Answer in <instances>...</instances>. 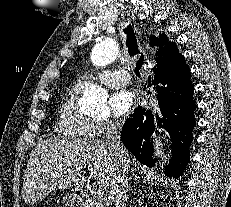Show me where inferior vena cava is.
Segmentation results:
<instances>
[{
  "instance_id": "inferior-vena-cava-1",
  "label": "inferior vena cava",
  "mask_w": 231,
  "mask_h": 207,
  "mask_svg": "<svg viewBox=\"0 0 231 207\" xmlns=\"http://www.w3.org/2000/svg\"><path fill=\"white\" fill-rule=\"evenodd\" d=\"M122 122L117 119H112L107 124L106 141L105 143L111 147L113 153L119 160L117 168L116 181L113 186V199L116 207H127L128 199V179H127V153L121 143L120 131Z\"/></svg>"
}]
</instances>
